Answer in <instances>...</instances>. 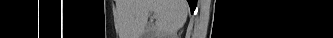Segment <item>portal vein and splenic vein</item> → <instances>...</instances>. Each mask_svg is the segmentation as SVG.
<instances>
[{
	"label": "portal vein and splenic vein",
	"mask_w": 333,
	"mask_h": 38,
	"mask_svg": "<svg viewBox=\"0 0 333 38\" xmlns=\"http://www.w3.org/2000/svg\"><path fill=\"white\" fill-rule=\"evenodd\" d=\"M153 17H154V18L156 17V14H155V13L153 14Z\"/></svg>",
	"instance_id": "portal-vein-and-splenic-vein-1"
}]
</instances>
